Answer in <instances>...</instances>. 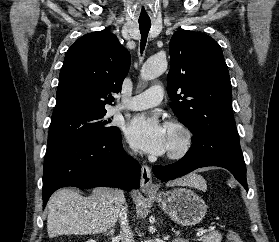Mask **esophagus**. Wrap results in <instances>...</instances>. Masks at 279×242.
Masks as SVG:
<instances>
[{
	"label": "esophagus",
	"instance_id": "1",
	"mask_svg": "<svg viewBox=\"0 0 279 242\" xmlns=\"http://www.w3.org/2000/svg\"><path fill=\"white\" fill-rule=\"evenodd\" d=\"M142 192H154L156 187L152 181L151 169L147 165H143L141 169V183Z\"/></svg>",
	"mask_w": 279,
	"mask_h": 242
}]
</instances>
